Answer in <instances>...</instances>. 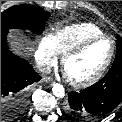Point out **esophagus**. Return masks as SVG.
Returning <instances> with one entry per match:
<instances>
[{"label":"esophagus","mask_w":122,"mask_h":122,"mask_svg":"<svg viewBox=\"0 0 122 122\" xmlns=\"http://www.w3.org/2000/svg\"><path fill=\"white\" fill-rule=\"evenodd\" d=\"M43 80H44V82H46V83H54V80H53L51 77L45 76V77L43 78Z\"/></svg>","instance_id":"obj_1"}]
</instances>
